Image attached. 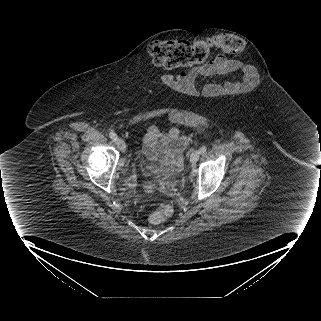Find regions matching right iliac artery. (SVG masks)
I'll return each instance as SVG.
<instances>
[{
    "label": "right iliac artery",
    "mask_w": 321,
    "mask_h": 321,
    "mask_svg": "<svg viewBox=\"0 0 321 321\" xmlns=\"http://www.w3.org/2000/svg\"><path fill=\"white\" fill-rule=\"evenodd\" d=\"M109 136L113 141H117V135L114 132H110Z\"/></svg>",
    "instance_id": "right-iliac-artery-1"
}]
</instances>
